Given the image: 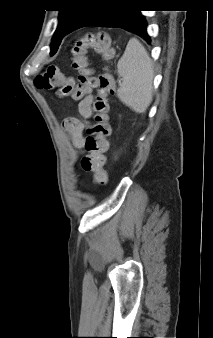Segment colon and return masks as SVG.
<instances>
[{"instance_id": "5ec220e1", "label": "colon", "mask_w": 213, "mask_h": 338, "mask_svg": "<svg viewBox=\"0 0 213 338\" xmlns=\"http://www.w3.org/2000/svg\"><path fill=\"white\" fill-rule=\"evenodd\" d=\"M90 50H94L107 61L115 56V47L108 35L86 34L74 39L70 46L74 57L73 66L79 72L78 83L63 74L57 66L50 65L37 77L36 84L43 90H55L58 97L69 96L74 102L79 101L87 90L92 88L96 90L94 101L96 114L94 124L85 138L87 154L81 159V168L85 172L93 173L96 183L103 185L109 181L106 158L109 149L108 136L111 132L108 96L114 93V80L108 72L94 76L89 67ZM63 125L67 130H75L78 121L75 118H67Z\"/></svg>"}]
</instances>
